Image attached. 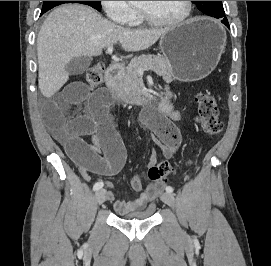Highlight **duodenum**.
I'll return each instance as SVG.
<instances>
[{
    "label": "duodenum",
    "instance_id": "1",
    "mask_svg": "<svg viewBox=\"0 0 271 266\" xmlns=\"http://www.w3.org/2000/svg\"><path fill=\"white\" fill-rule=\"evenodd\" d=\"M122 77V67L118 63L111 64L105 73V83L107 87L122 100L127 97L120 89V79Z\"/></svg>",
    "mask_w": 271,
    "mask_h": 266
}]
</instances>
